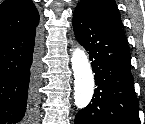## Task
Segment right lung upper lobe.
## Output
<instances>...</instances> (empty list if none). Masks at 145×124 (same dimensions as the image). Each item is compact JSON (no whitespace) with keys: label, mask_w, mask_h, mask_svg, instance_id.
<instances>
[{"label":"right lung upper lobe","mask_w":145,"mask_h":124,"mask_svg":"<svg viewBox=\"0 0 145 124\" xmlns=\"http://www.w3.org/2000/svg\"><path fill=\"white\" fill-rule=\"evenodd\" d=\"M38 24L39 14L31 0H5L0 5V36L21 34Z\"/></svg>","instance_id":"cb5924a9"}]
</instances>
